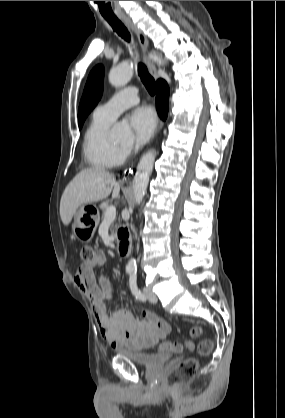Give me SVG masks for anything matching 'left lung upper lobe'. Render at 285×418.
Returning <instances> with one entry per match:
<instances>
[{
	"label": "left lung upper lobe",
	"instance_id": "left-lung-upper-lobe-1",
	"mask_svg": "<svg viewBox=\"0 0 285 418\" xmlns=\"http://www.w3.org/2000/svg\"><path fill=\"white\" fill-rule=\"evenodd\" d=\"M103 76L104 68L102 65L94 67L89 74L78 110L79 128L82 127L85 118L97 105L102 96Z\"/></svg>",
	"mask_w": 285,
	"mask_h": 418
}]
</instances>
